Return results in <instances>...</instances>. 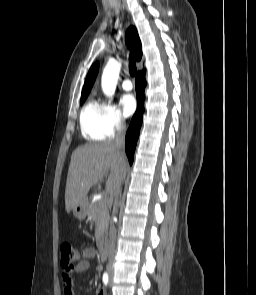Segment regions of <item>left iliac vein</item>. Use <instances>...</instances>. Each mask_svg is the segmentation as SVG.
Here are the masks:
<instances>
[{
	"label": "left iliac vein",
	"instance_id": "left-iliac-vein-1",
	"mask_svg": "<svg viewBox=\"0 0 256 295\" xmlns=\"http://www.w3.org/2000/svg\"><path fill=\"white\" fill-rule=\"evenodd\" d=\"M112 284V280L110 279V285Z\"/></svg>",
	"mask_w": 256,
	"mask_h": 295
}]
</instances>
